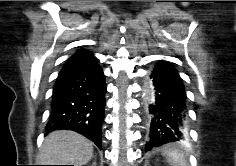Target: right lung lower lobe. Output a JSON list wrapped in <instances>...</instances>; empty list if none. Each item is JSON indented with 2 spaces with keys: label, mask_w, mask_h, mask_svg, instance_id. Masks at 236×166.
I'll use <instances>...</instances> for the list:
<instances>
[{
  "label": "right lung lower lobe",
  "mask_w": 236,
  "mask_h": 166,
  "mask_svg": "<svg viewBox=\"0 0 236 166\" xmlns=\"http://www.w3.org/2000/svg\"><path fill=\"white\" fill-rule=\"evenodd\" d=\"M99 60L65 65L54 86L46 132L68 129L92 140L101 149L106 84Z\"/></svg>",
  "instance_id": "98d812e1"
}]
</instances>
